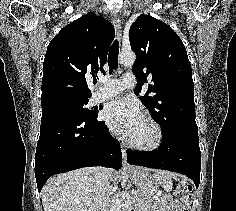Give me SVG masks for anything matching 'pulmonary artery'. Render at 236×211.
Returning a JSON list of instances; mask_svg holds the SVG:
<instances>
[{"label":"pulmonary artery","mask_w":236,"mask_h":211,"mask_svg":"<svg viewBox=\"0 0 236 211\" xmlns=\"http://www.w3.org/2000/svg\"><path fill=\"white\" fill-rule=\"evenodd\" d=\"M137 84L136 77L133 74H125L119 79H113L104 81L102 87H100L92 96L93 102H100L104 99L113 97L121 93L126 88H133Z\"/></svg>","instance_id":"pulmonary-artery-1"}]
</instances>
